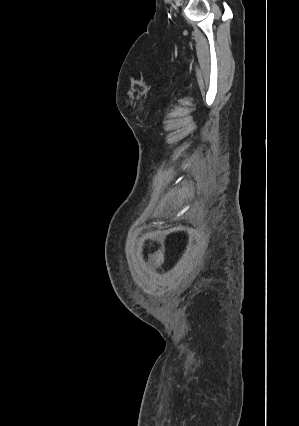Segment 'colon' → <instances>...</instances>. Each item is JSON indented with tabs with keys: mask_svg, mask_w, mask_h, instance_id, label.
<instances>
[{
	"mask_svg": "<svg viewBox=\"0 0 299 426\" xmlns=\"http://www.w3.org/2000/svg\"><path fill=\"white\" fill-rule=\"evenodd\" d=\"M155 259H156L157 262H160L162 260V256H161V254L159 252L156 253Z\"/></svg>",
	"mask_w": 299,
	"mask_h": 426,
	"instance_id": "5ec220e1",
	"label": "colon"
}]
</instances>
